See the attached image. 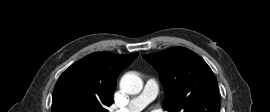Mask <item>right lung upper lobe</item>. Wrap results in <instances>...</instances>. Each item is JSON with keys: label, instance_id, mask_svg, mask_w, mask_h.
Listing matches in <instances>:
<instances>
[{"label": "right lung upper lobe", "instance_id": "obj_1", "mask_svg": "<svg viewBox=\"0 0 270 112\" xmlns=\"http://www.w3.org/2000/svg\"><path fill=\"white\" fill-rule=\"evenodd\" d=\"M138 53L118 55L97 52L85 56L66 69L53 91L52 112H62L69 102L84 105L90 112H108L112 104L116 80Z\"/></svg>", "mask_w": 270, "mask_h": 112}]
</instances>
